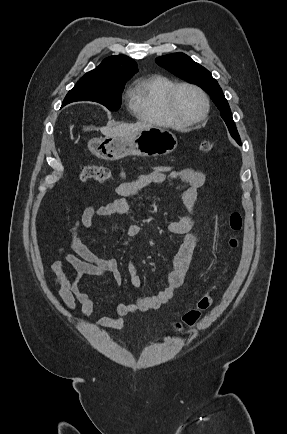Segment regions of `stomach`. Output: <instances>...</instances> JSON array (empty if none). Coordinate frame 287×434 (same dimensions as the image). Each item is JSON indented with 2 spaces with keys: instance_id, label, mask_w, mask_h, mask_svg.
<instances>
[{
  "instance_id": "obj_1",
  "label": "stomach",
  "mask_w": 287,
  "mask_h": 434,
  "mask_svg": "<svg viewBox=\"0 0 287 434\" xmlns=\"http://www.w3.org/2000/svg\"><path fill=\"white\" fill-rule=\"evenodd\" d=\"M88 146L97 157L115 161L129 155L141 157L167 155L177 147V138L169 130L151 126L132 136L93 139Z\"/></svg>"
}]
</instances>
